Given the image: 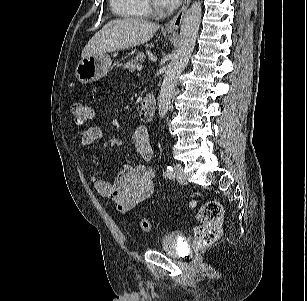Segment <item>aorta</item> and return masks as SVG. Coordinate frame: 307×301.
<instances>
[{
  "mask_svg": "<svg viewBox=\"0 0 307 301\" xmlns=\"http://www.w3.org/2000/svg\"><path fill=\"white\" fill-rule=\"evenodd\" d=\"M202 17V5L199 1L193 2L186 11L180 27V36L174 56L166 67L165 76L158 99V111L160 118H164L171 102L174 88L178 78L186 67L193 52L198 29Z\"/></svg>",
  "mask_w": 307,
  "mask_h": 301,
  "instance_id": "aorta-1",
  "label": "aorta"
}]
</instances>
